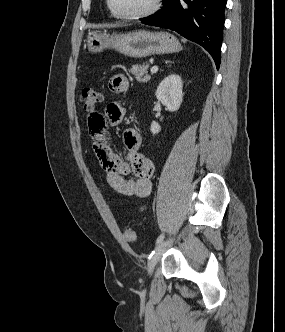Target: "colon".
<instances>
[{
  "label": "colon",
  "instance_id": "1",
  "mask_svg": "<svg viewBox=\"0 0 285 332\" xmlns=\"http://www.w3.org/2000/svg\"><path fill=\"white\" fill-rule=\"evenodd\" d=\"M81 99L84 108L93 113V111H95V107L102 102L103 94L96 88H85L81 93ZM124 236L129 243H134L137 240L136 232L131 227L125 228Z\"/></svg>",
  "mask_w": 285,
  "mask_h": 332
}]
</instances>
